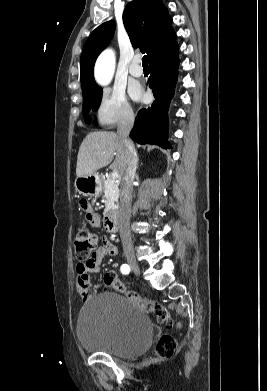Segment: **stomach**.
Returning <instances> with one entry per match:
<instances>
[{"label": "stomach", "mask_w": 267, "mask_h": 391, "mask_svg": "<svg viewBox=\"0 0 267 391\" xmlns=\"http://www.w3.org/2000/svg\"><path fill=\"white\" fill-rule=\"evenodd\" d=\"M75 189L83 196L98 197L102 192L100 175L92 173L90 175L77 177L75 180Z\"/></svg>", "instance_id": "obj_1"}]
</instances>
